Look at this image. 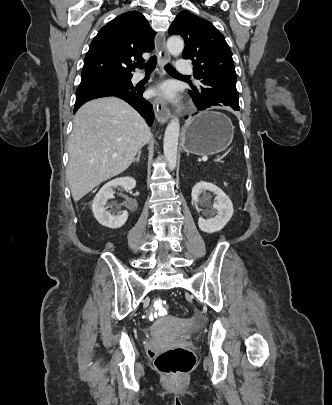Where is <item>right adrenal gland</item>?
Returning <instances> with one entry per match:
<instances>
[{
    "label": "right adrenal gland",
    "mask_w": 332,
    "mask_h": 405,
    "mask_svg": "<svg viewBox=\"0 0 332 405\" xmlns=\"http://www.w3.org/2000/svg\"><path fill=\"white\" fill-rule=\"evenodd\" d=\"M140 156H141V151L138 152V155L136 158H134L133 162H139L140 161Z\"/></svg>",
    "instance_id": "2a0ac1e0"
}]
</instances>
